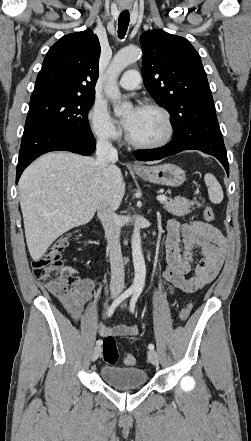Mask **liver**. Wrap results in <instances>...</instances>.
Here are the masks:
<instances>
[{
  "label": "liver",
  "mask_w": 251,
  "mask_h": 441,
  "mask_svg": "<svg viewBox=\"0 0 251 441\" xmlns=\"http://www.w3.org/2000/svg\"><path fill=\"white\" fill-rule=\"evenodd\" d=\"M19 190L26 242L36 261L63 233L90 222L103 198L116 209L125 183L114 163L102 169L93 157L51 152L23 172Z\"/></svg>",
  "instance_id": "6515ba94"
}]
</instances>
